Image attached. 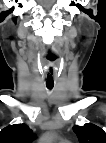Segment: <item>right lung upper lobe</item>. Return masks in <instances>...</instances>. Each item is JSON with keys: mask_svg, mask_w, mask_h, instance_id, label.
I'll return each instance as SVG.
<instances>
[{"mask_svg": "<svg viewBox=\"0 0 106 143\" xmlns=\"http://www.w3.org/2000/svg\"><path fill=\"white\" fill-rule=\"evenodd\" d=\"M35 137L26 124H14L1 130L0 143H31Z\"/></svg>", "mask_w": 106, "mask_h": 143, "instance_id": "1", "label": "right lung upper lobe"}]
</instances>
